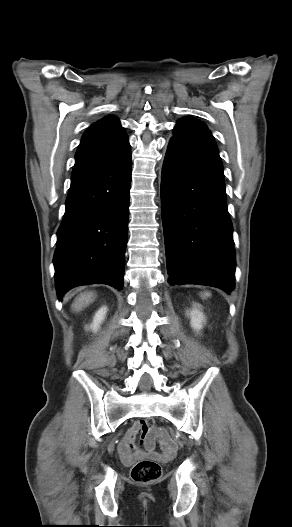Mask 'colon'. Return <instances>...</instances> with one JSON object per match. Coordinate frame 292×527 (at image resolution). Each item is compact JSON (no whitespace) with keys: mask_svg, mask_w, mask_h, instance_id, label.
<instances>
[{"mask_svg":"<svg viewBox=\"0 0 292 527\" xmlns=\"http://www.w3.org/2000/svg\"><path fill=\"white\" fill-rule=\"evenodd\" d=\"M140 423L144 430L149 431L156 429L155 423L152 420H145ZM161 475V466L159 464H152L150 459L138 461L131 469V478L139 483L155 482L161 477Z\"/></svg>","mask_w":292,"mask_h":527,"instance_id":"obj_1","label":"colon"}]
</instances>
